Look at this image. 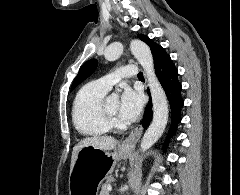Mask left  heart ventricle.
<instances>
[{
  "label": "left heart ventricle",
  "mask_w": 240,
  "mask_h": 195,
  "mask_svg": "<svg viewBox=\"0 0 240 195\" xmlns=\"http://www.w3.org/2000/svg\"><path fill=\"white\" fill-rule=\"evenodd\" d=\"M109 108L110 110L117 116H120V102L118 97L116 98H109Z\"/></svg>",
  "instance_id": "b2bd125f"
}]
</instances>
